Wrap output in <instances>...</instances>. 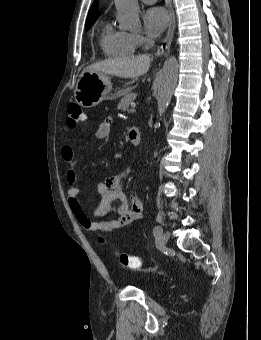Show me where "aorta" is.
<instances>
[{"mask_svg":"<svg viewBox=\"0 0 261 340\" xmlns=\"http://www.w3.org/2000/svg\"><path fill=\"white\" fill-rule=\"evenodd\" d=\"M117 19L126 28H136L140 24L138 0H114ZM179 65L174 56L168 58L161 70L158 83V113L164 114L168 108L178 79Z\"/></svg>","mask_w":261,"mask_h":340,"instance_id":"762f6f07","label":"aorta"}]
</instances>
